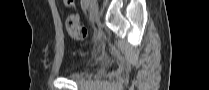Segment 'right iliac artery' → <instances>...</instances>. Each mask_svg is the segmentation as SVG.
Segmentation results:
<instances>
[{"label": "right iliac artery", "instance_id": "82829eb1", "mask_svg": "<svg viewBox=\"0 0 209 90\" xmlns=\"http://www.w3.org/2000/svg\"><path fill=\"white\" fill-rule=\"evenodd\" d=\"M88 5H89V1H87V0H83V1L81 2V6H82V9H83L84 11H86V10L88 9Z\"/></svg>", "mask_w": 209, "mask_h": 90}]
</instances>
